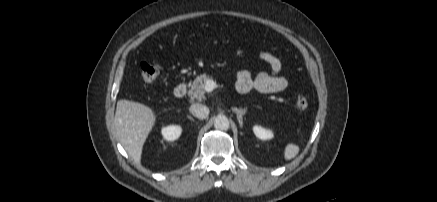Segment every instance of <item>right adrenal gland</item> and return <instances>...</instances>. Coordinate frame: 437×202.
Instances as JSON below:
<instances>
[{
	"label": "right adrenal gland",
	"mask_w": 437,
	"mask_h": 202,
	"mask_svg": "<svg viewBox=\"0 0 437 202\" xmlns=\"http://www.w3.org/2000/svg\"><path fill=\"white\" fill-rule=\"evenodd\" d=\"M188 118H189L190 120L194 121V119H193L191 116H188Z\"/></svg>",
	"instance_id": "right-adrenal-gland-1"
}]
</instances>
